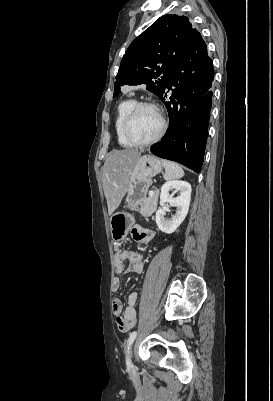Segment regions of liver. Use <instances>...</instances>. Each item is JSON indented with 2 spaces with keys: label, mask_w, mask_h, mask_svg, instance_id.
Segmentation results:
<instances>
[{
  "label": "liver",
  "mask_w": 273,
  "mask_h": 401,
  "mask_svg": "<svg viewBox=\"0 0 273 401\" xmlns=\"http://www.w3.org/2000/svg\"><path fill=\"white\" fill-rule=\"evenodd\" d=\"M140 154L141 152L134 148H128V150L113 148L109 152L102 170L108 215H112L116 211L126 194L130 182L129 172L138 162Z\"/></svg>",
  "instance_id": "obj_1"
}]
</instances>
